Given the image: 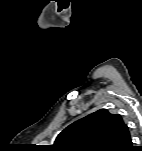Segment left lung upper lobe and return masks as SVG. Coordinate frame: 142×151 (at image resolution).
<instances>
[{
  "label": "left lung upper lobe",
  "mask_w": 142,
  "mask_h": 151,
  "mask_svg": "<svg viewBox=\"0 0 142 151\" xmlns=\"http://www.w3.org/2000/svg\"><path fill=\"white\" fill-rule=\"evenodd\" d=\"M132 146L129 128L121 115L100 109L75 121L56 138L60 151H128Z\"/></svg>",
  "instance_id": "obj_1"
}]
</instances>
